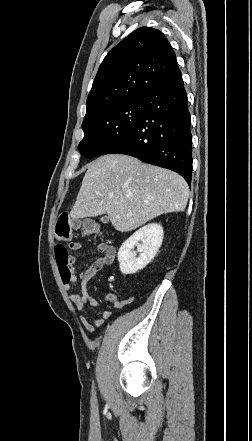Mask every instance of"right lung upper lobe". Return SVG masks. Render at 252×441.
Wrapping results in <instances>:
<instances>
[{
    "mask_svg": "<svg viewBox=\"0 0 252 441\" xmlns=\"http://www.w3.org/2000/svg\"><path fill=\"white\" fill-rule=\"evenodd\" d=\"M178 69L175 53L164 34L150 27L138 28L101 63L87 98L84 119L140 99Z\"/></svg>",
    "mask_w": 252,
    "mask_h": 441,
    "instance_id": "cb5924a9",
    "label": "right lung upper lobe"
}]
</instances>
